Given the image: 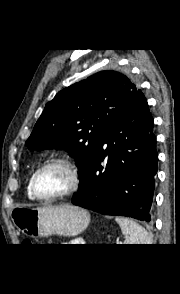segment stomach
Wrapping results in <instances>:
<instances>
[{"label":"stomach","mask_w":180,"mask_h":294,"mask_svg":"<svg viewBox=\"0 0 180 294\" xmlns=\"http://www.w3.org/2000/svg\"><path fill=\"white\" fill-rule=\"evenodd\" d=\"M11 217L17 229L31 238L51 235L73 237L80 234L90 221L88 211L69 204L20 206L12 210Z\"/></svg>","instance_id":"stomach-1"}]
</instances>
